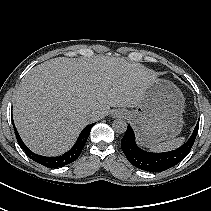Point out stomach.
I'll return each mask as SVG.
<instances>
[{"label":"stomach","instance_id":"1","mask_svg":"<svg viewBox=\"0 0 211 211\" xmlns=\"http://www.w3.org/2000/svg\"><path fill=\"white\" fill-rule=\"evenodd\" d=\"M185 99L170 81L156 79L135 110L127 111L138 140L145 146L175 138L183 128Z\"/></svg>","mask_w":211,"mask_h":211}]
</instances>
